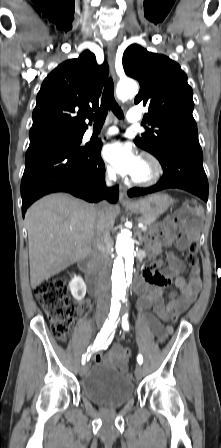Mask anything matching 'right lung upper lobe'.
<instances>
[{
  "label": "right lung upper lobe",
  "instance_id": "obj_1",
  "mask_svg": "<svg viewBox=\"0 0 221 448\" xmlns=\"http://www.w3.org/2000/svg\"><path fill=\"white\" fill-rule=\"evenodd\" d=\"M107 75V63L98 65L88 50L55 68L37 95L29 148L84 134L88 115L99 107Z\"/></svg>",
  "mask_w": 221,
  "mask_h": 448
}]
</instances>
